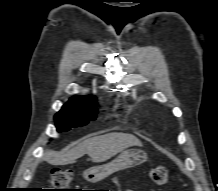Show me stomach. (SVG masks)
<instances>
[{"label": "stomach", "mask_w": 218, "mask_h": 191, "mask_svg": "<svg viewBox=\"0 0 218 191\" xmlns=\"http://www.w3.org/2000/svg\"><path fill=\"white\" fill-rule=\"evenodd\" d=\"M147 159V155L140 150H126L111 162L94 166L83 173V177L92 183L99 182L112 173L137 166Z\"/></svg>", "instance_id": "0dacf381"}]
</instances>
